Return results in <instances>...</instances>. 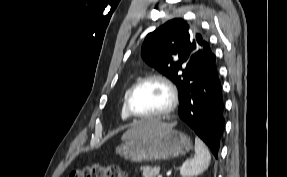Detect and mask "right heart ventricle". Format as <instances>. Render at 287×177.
I'll list each match as a JSON object with an SVG mask.
<instances>
[{"label":"right heart ventricle","instance_id":"1","mask_svg":"<svg viewBox=\"0 0 287 177\" xmlns=\"http://www.w3.org/2000/svg\"><path fill=\"white\" fill-rule=\"evenodd\" d=\"M130 88H131V86L128 87V88L126 89L125 93H124L123 103H122V107H121V116H122V118H124V119H128V118L130 117L129 114L127 113V111H126V108H125V99H126L127 93H128V91L130 90Z\"/></svg>","mask_w":287,"mask_h":177}]
</instances>
